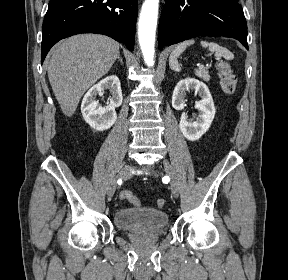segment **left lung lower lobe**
Listing matches in <instances>:
<instances>
[{"label":"left lung lower lobe","mask_w":288,"mask_h":280,"mask_svg":"<svg viewBox=\"0 0 288 280\" xmlns=\"http://www.w3.org/2000/svg\"><path fill=\"white\" fill-rule=\"evenodd\" d=\"M159 23L160 50L197 36L235 38L248 49L239 0H165Z\"/></svg>","instance_id":"obj_1"}]
</instances>
